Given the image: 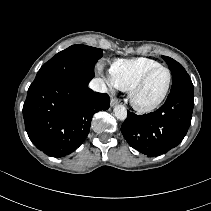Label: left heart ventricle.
Masks as SVG:
<instances>
[{
  "mask_svg": "<svg viewBox=\"0 0 211 211\" xmlns=\"http://www.w3.org/2000/svg\"><path fill=\"white\" fill-rule=\"evenodd\" d=\"M168 81V73L164 69H158L147 79L139 94V101L149 104L157 100L163 93Z\"/></svg>",
  "mask_w": 211,
  "mask_h": 211,
  "instance_id": "1",
  "label": "left heart ventricle"
}]
</instances>
